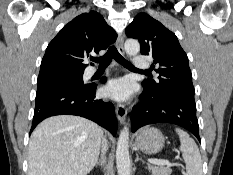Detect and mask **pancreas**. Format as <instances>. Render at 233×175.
I'll return each mask as SVG.
<instances>
[{
  "label": "pancreas",
  "instance_id": "1",
  "mask_svg": "<svg viewBox=\"0 0 233 175\" xmlns=\"http://www.w3.org/2000/svg\"><path fill=\"white\" fill-rule=\"evenodd\" d=\"M149 169L152 171V175H170L172 172L169 167L164 166L150 165Z\"/></svg>",
  "mask_w": 233,
  "mask_h": 175
}]
</instances>
